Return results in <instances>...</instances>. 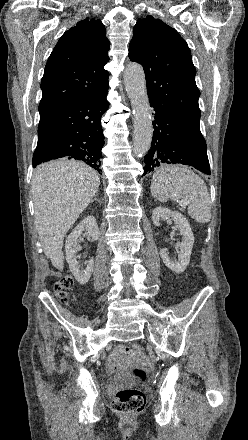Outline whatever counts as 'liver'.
Returning a JSON list of instances; mask_svg holds the SVG:
<instances>
[{"label":"liver","mask_w":248,"mask_h":440,"mask_svg":"<svg viewBox=\"0 0 248 440\" xmlns=\"http://www.w3.org/2000/svg\"><path fill=\"white\" fill-rule=\"evenodd\" d=\"M98 173L63 158L38 166L32 177L35 224L44 254L62 271L64 237L98 191Z\"/></svg>","instance_id":"1"}]
</instances>
